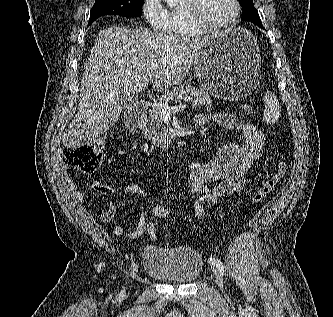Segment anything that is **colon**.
Segmentation results:
<instances>
[{
    "label": "colon",
    "instance_id": "colon-1",
    "mask_svg": "<svg viewBox=\"0 0 333 317\" xmlns=\"http://www.w3.org/2000/svg\"><path fill=\"white\" fill-rule=\"evenodd\" d=\"M241 109L246 113H252L253 107L250 104H242ZM104 145L101 139H95L76 147H68L63 152V160L66 165L77 171L90 174L95 172L101 165L103 159ZM288 172V164L280 159L274 172L259 186L252 195L253 204H260L276 189ZM171 209L164 204H156L149 210V217L146 220V233L152 240L157 239L156 226L159 222L171 218Z\"/></svg>",
    "mask_w": 333,
    "mask_h": 317
}]
</instances>
